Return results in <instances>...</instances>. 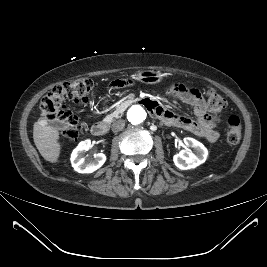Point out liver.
Returning a JSON list of instances; mask_svg holds the SVG:
<instances>
[{"label":"liver","mask_w":267,"mask_h":267,"mask_svg":"<svg viewBox=\"0 0 267 267\" xmlns=\"http://www.w3.org/2000/svg\"><path fill=\"white\" fill-rule=\"evenodd\" d=\"M34 143L41 156L51 163L58 161L61 144L59 142V131L46 125L42 120L35 122L33 127Z\"/></svg>","instance_id":"6515ba94"}]
</instances>
